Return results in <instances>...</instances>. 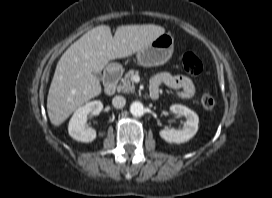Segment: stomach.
<instances>
[{"mask_svg": "<svg viewBox=\"0 0 272 198\" xmlns=\"http://www.w3.org/2000/svg\"><path fill=\"white\" fill-rule=\"evenodd\" d=\"M174 50V38L171 34L160 35L149 46L137 52V62L144 67L159 66L166 63Z\"/></svg>", "mask_w": 272, "mask_h": 198, "instance_id": "obj_1", "label": "stomach"}]
</instances>
